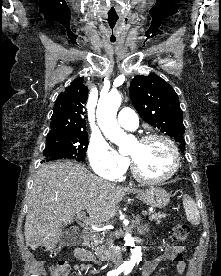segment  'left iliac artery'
Listing matches in <instances>:
<instances>
[{
  "instance_id": "obj_1",
  "label": "left iliac artery",
  "mask_w": 221,
  "mask_h": 276,
  "mask_svg": "<svg viewBox=\"0 0 221 276\" xmlns=\"http://www.w3.org/2000/svg\"><path fill=\"white\" fill-rule=\"evenodd\" d=\"M131 269H126L125 275H127L130 272Z\"/></svg>"
}]
</instances>
